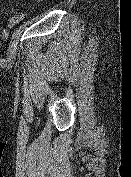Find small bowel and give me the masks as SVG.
Listing matches in <instances>:
<instances>
[{"mask_svg": "<svg viewBox=\"0 0 131 177\" xmlns=\"http://www.w3.org/2000/svg\"><path fill=\"white\" fill-rule=\"evenodd\" d=\"M2 0H0V2H1ZM30 1H32V2H34V3H40V2H42L43 0H30ZM24 17V15H21V16H19L18 18H23Z\"/></svg>", "mask_w": 131, "mask_h": 177, "instance_id": "c3829d8e", "label": "small bowel"}]
</instances>
